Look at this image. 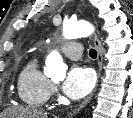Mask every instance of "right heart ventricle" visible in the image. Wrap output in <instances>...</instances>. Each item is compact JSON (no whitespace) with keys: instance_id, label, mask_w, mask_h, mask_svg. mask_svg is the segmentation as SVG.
Listing matches in <instances>:
<instances>
[{"instance_id":"right-heart-ventricle-1","label":"right heart ventricle","mask_w":133,"mask_h":118,"mask_svg":"<svg viewBox=\"0 0 133 118\" xmlns=\"http://www.w3.org/2000/svg\"><path fill=\"white\" fill-rule=\"evenodd\" d=\"M52 83L41 71L39 58H31L21 70L18 81V96L23 103L30 107H41L51 95Z\"/></svg>"}]
</instances>
